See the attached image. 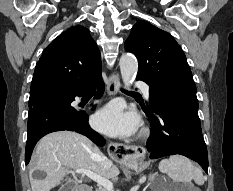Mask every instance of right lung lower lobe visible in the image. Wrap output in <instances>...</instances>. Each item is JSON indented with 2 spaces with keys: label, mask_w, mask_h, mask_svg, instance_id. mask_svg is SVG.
Here are the masks:
<instances>
[{
  "label": "right lung lower lobe",
  "mask_w": 233,
  "mask_h": 191,
  "mask_svg": "<svg viewBox=\"0 0 233 191\" xmlns=\"http://www.w3.org/2000/svg\"><path fill=\"white\" fill-rule=\"evenodd\" d=\"M97 86L96 97L99 98L104 92V83L99 76L94 82L84 88L57 91L40 89L30 93L27 143L25 149V163L28 164L33 148L44 135L54 131H76L87 136L99 146L104 145V138L95 132L88 123V116L83 111H77L71 107V102L76 96H81L88 88ZM56 92L69 100V103L51 98L46 93Z\"/></svg>",
  "instance_id": "right-lung-lower-lobe-1"
}]
</instances>
